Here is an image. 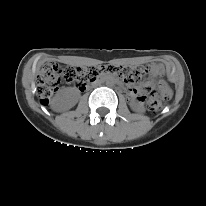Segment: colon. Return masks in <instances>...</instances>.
<instances>
[{
	"mask_svg": "<svg viewBox=\"0 0 206 206\" xmlns=\"http://www.w3.org/2000/svg\"><path fill=\"white\" fill-rule=\"evenodd\" d=\"M107 72L123 77L133 82L140 80L147 73L144 67L128 68L123 66H109L106 68L96 67H75L69 66L62 69L54 63H46L39 70L37 75V94L42 105H47L52 95L57 91L61 80L67 83H75L81 90H84L89 83L94 82L100 73ZM170 92L165 84H160L159 89L147 88V95L142 96L147 100L151 111L157 112L162 108V99H168Z\"/></svg>",
	"mask_w": 206,
	"mask_h": 206,
	"instance_id": "colon-1",
	"label": "colon"
}]
</instances>
